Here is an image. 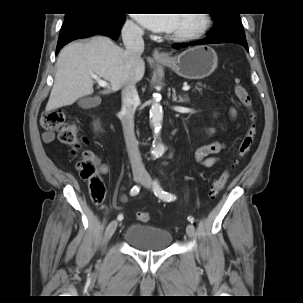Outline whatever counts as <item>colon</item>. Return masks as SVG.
I'll list each match as a JSON object with an SVG mask.
<instances>
[{"label":"colon","instance_id":"1","mask_svg":"<svg viewBox=\"0 0 303 303\" xmlns=\"http://www.w3.org/2000/svg\"><path fill=\"white\" fill-rule=\"evenodd\" d=\"M234 92L242 105L248 109L250 121L247 132L236 152L237 160H239L249 154L258 134L259 127L256 113L252 108L251 96L238 79L234 81ZM41 127L56 132L60 141L68 145L74 153L81 152L82 159L77 163V168L81 176L89 182V192L92 201L101 203L105 198V185L96 168L97 160L93 153L82 151V145L78 138L76 127L66 120L64 112L60 109L45 111L41 117ZM237 160H234L231 168L236 166ZM228 179L229 171L227 170L214 181L210 194L216 196L225 186ZM137 219L142 222H147L150 219V214L145 211H139L137 213Z\"/></svg>","mask_w":303,"mask_h":303}]
</instances>
